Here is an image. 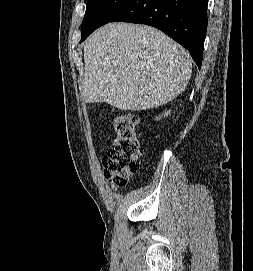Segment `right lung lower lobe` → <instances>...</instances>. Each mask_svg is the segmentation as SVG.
I'll return each mask as SVG.
<instances>
[{
  "mask_svg": "<svg viewBox=\"0 0 253 271\" xmlns=\"http://www.w3.org/2000/svg\"><path fill=\"white\" fill-rule=\"evenodd\" d=\"M207 4L208 0H131L110 22L140 23L160 29L184 46L200 69Z\"/></svg>",
  "mask_w": 253,
  "mask_h": 271,
  "instance_id": "obj_1",
  "label": "right lung lower lobe"
}]
</instances>
